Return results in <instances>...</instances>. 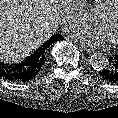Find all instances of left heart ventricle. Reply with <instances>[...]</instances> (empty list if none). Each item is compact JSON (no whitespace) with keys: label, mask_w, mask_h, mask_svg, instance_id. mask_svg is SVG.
Masks as SVG:
<instances>
[{"label":"left heart ventricle","mask_w":118,"mask_h":118,"mask_svg":"<svg viewBox=\"0 0 118 118\" xmlns=\"http://www.w3.org/2000/svg\"><path fill=\"white\" fill-rule=\"evenodd\" d=\"M94 22L106 33L109 42L118 43V2L108 15H98Z\"/></svg>","instance_id":"1"}]
</instances>
